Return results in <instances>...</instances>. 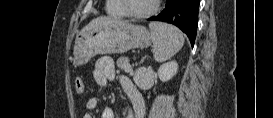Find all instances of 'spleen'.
<instances>
[{
	"label": "spleen",
	"mask_w": 273,
	"mask_h": 118,
	"mask_svg": "<svg viewBox=\"0 0 273 118\" xmlns=\"http://www.w3.org/2000/svg\"><path fill=\"white\" fill-rule=\"evenodd\" d=\"M149 28L153 42V55L157 62L170 59L183 47L184 37L178 28L160 22H151Z\"/></svg>",
	"instance_id": "spleen-1"
}]
</instances>
